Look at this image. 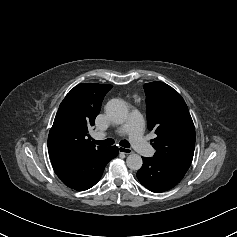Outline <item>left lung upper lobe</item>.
<instances>
[{
    "label": "left lung upper lobe",
    "instance_id": "5c2ea615",
    "mask_svg": "<svg viewBox=\"0 0 237 237\" xmlns=\"http://www.w3.org/2000/svg\"><path fill=\"white\" fill-rule=\"evenodd\" d=\"M148 129L159 161L188 170L194 155L195 129L181 95L163 82L144 85Z\"/></svg>",
    "mask_w": 237,
    "mask_h": 237
}]
</instances>
